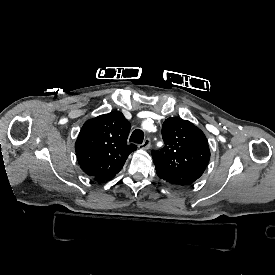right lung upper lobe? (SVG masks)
Here are the masks:
<instances>
[{"instance_id":"cb5924a9","label":"right lung upper lobe","mask_w":275,"mask_h":275,"mask_svg":"<svg viewBox=\"0 0 275 275\" xmlns=\"http://www.w3.org/2000/svg\"><path fill=\"white\" fill-rule=\"evenodd\" d=\"M130 123L119 111L86 121L75 143L81 169L91 177H114L128 155L137 149L128 144Z\"/></svg>"}]
</instances>
